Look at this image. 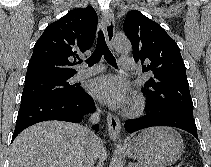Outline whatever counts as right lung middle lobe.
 Segmentation results:
<instances>
[{
    "instance_id": "obj_1",
    "label": "right lung middle lobe",
    "mask_w": 211,
    "mask_h": 167,
    "mask_svg": "<svg viewBox=\"0 0 211 167\" xmlns=\"http://www.w3.org/2000/svg\"><path fill=\"white\" fill-rule=\"evenodd\" d=\"M71 78L72 76H48L25 81L22 99L75 94L81 90V87L77 84H71Z\"/></svg>"
}]
</instances>
